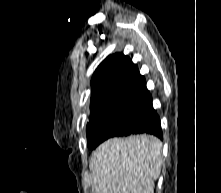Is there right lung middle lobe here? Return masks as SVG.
<instances>
[{
    "mask_svg": "<svg viewBox=\"0 0 221 193\" xmlns=\"http://www.w3.org/2000/svg\"><path fill=\"white\" fill-rule=\"evenodd\" d=\"M153 111L149 101H120L90 115L87 145L95 149L108 138L120 136L144 121Z\"/></svg>",
    "mask_w": 221,
    "mask_h": 193,
    "instance_id": "dd1d6c3e",
    "label": "right lung middle lobe"
}]
</instances>
